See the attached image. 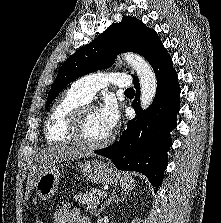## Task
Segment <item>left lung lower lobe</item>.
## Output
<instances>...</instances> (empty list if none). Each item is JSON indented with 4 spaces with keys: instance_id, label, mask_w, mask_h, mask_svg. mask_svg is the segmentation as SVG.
Wrapping results in <instances>:
<instances>
[{
    "instance_id": "0a47b994",
    "label": "left lung lower lobe",
    "mask_w": 221,
    "mask_h": 223,
    "mask_svg": "<svg viewBox=\"0 0 221 223\" xmlns=\"http://www.w3.org/2000/svg\"><path fill=\"white\" fill-rule=\"evenodd\" d=\"M157 78V91L150 107L143 111L138 103L140 84L134 81L136 99L132 106L137 116L127 122L126 130L113 145L94 151L113 162L119 170L144 174L157 192L168 162L171 146L170 132L176 128V115L180 109L178 76L166 50L153 65Z\"/></svg>"
}]
</instances>
